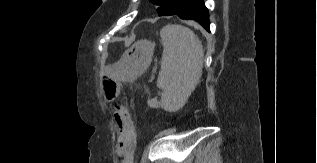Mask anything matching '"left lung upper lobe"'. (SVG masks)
I'll list each match as a JSON object with an SVG mask.
<instances>
[{
    "label": "left lung upper lobe",
    "mask_w": 317,
    "mask_h": 163,
    "mask_svg": "<svg viewBox=\"0 0 317 163\" xmlns=\"http://www.w3.org/2000/svg\"><path fill=\"white\" fill-rule=\"evenodd\" d=\"M155 5H159L160 7L157 9L159 16L172 15L177 11L179 6L184 0H150Z\"/></svg>",
    "instance_id": "5c2ea615"
}]
</instances>
